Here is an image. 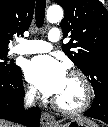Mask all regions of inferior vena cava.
<instances>
[{
    "instance_id": "obj_1",
    "label": "inferior vena cava",
    "mask_w": 108,
    "mask_h": 127,
    "mask_svg": "<svg viewBox=\"0 0 108 127\" xmlns=\"http://www.w3.org/2000/svg\"><path fill=\"white\" fill-rule=\"evenodd\" d=\"M35 95H36V89L31 88L25 95V99H24V105L26 108H29L32 106L34 99H35Z\"/></svg>"
}]
</instances>
